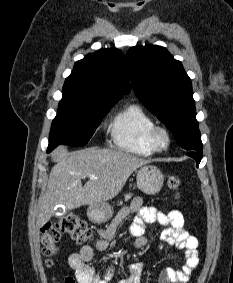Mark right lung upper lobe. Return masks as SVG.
I'll use <instances>...</instances> for the list:
<instances>
[{"label": "right lung upper lobe", "instance_id": "cb5924a9", "mask_svg": "<svg viewBox=\"0 0 233 283\" xmlns=\"http://www.w3.org/2000/svg\"><path fill=\"white\" fill-rule=\"evenodd\" d=\"M130 91L125 58L118 49H101L75 63L63 93L91 104L114 105Z\"/></svg>", "mask_w": 233, "mask_h": 283}]
</instances>
